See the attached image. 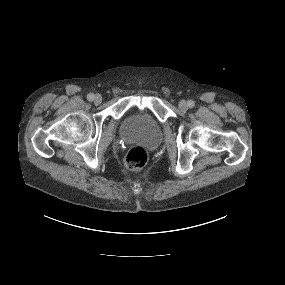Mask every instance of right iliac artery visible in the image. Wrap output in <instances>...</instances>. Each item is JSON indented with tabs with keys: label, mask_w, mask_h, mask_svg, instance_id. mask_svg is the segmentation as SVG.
Wrapping results in <instances>:
<instances>
[{
	"label": "right iliac artery",
	"mask_w": 285,
	"mask_h": 285,
	"mask_svg": "<svg viewBox=\"0 0 285 285\" xmlns=\"http://www.w3.org/2000/svg\"><path fill=\"white\" fill-rule=\"evenodd\" d=\"M87 99H88L89 101H93V100H94V94H93V93L88 94V95H87Z\"/></svg>",
	"instance_id": "right-iliac-artery-1"
}]
</instances>
